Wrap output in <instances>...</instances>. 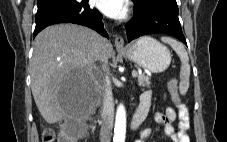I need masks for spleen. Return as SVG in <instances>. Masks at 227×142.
<instances>
[{
  "label": "spleen",
  "mask_w": 227,
  "mask_h": 142,
  "mask_svg": "<svg viewBox=\"0 0 227 142\" xmlns=\"http://www.w3.org/2000/svg\"><path fill=\"white\" fill-rule=\"evenodd\" d=\"M161 40L165 43H168L180 58L181 68H180L179 91L181 94H186L189 88V78H190V65H189L188 54L183 44H181L180 42L168 37H162Z\"/></svg>",
  "instance_id": "1"
}]
</instances>
